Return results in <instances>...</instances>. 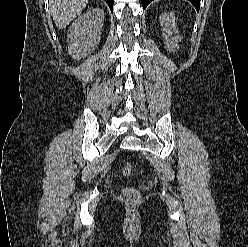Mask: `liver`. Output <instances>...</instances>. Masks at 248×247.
<instances>
[{"label":"liver","mask_w":248,"mask_h":247,"mask_svg":"<svg viewBox=\"0 0 248 247\" xmlns=\"http://www.w3.org/2000/svg\"><path fill=\"white\" fill-rule=\"evenodd\" d=\"M88 0H50V11L58 29H63L87 6Z\"/></svg>","instance_id":"liver-1"}]
</instances>
